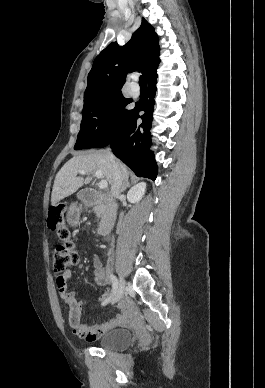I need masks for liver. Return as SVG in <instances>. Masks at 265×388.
Segmentation results:
<instances>
[{
	"mask_svg": "<svg viewBox=\"0 0 265 388\" xmlns=\"http://www.w3.org/2000/svg\"><path fill=\"white\" fill-rule=\"evenodd\" d=\"M123 180L129 178L128 170L125 164L114 158ZM79 170H86L88 174H94L97 170H101L106 182L113 184V164L110 160L109 150H99V152H91L87 156H74L69 162L64 164L59 170L55 180L51 196V204L55 206L57 202L71 196L77 192L84 184L92 182V176L88 178H76Z\"/></svg>",
	"mask_w": 265,
	"mask_h": 388,
	"instance_id": "1",
	"label": "liver"
}]
</instances>
